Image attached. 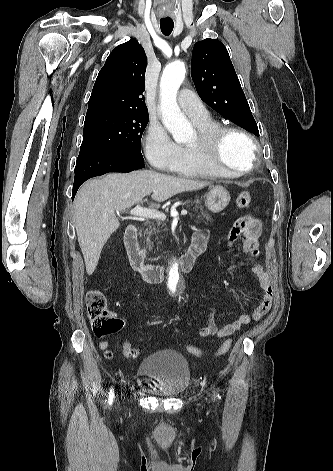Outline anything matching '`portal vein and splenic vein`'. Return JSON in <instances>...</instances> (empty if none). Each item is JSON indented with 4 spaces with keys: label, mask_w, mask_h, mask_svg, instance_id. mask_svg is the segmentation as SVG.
Returning <instances> with one entry per match:
<instances>
[{
    "label": "portal vein and splenic vein",
    "mask_w": 333,
    "mask_h": 471,
    "mask_svg": "<svg viewBox=\"0 0 333 471\" xmlns=\"http://www.w3.org/2000/svg\"><path fill=\"white\" fill-rule=\"evenodd\" d=\"M130 214L133 216H140L145 218L165 220L166 216L164 213L154 209L141 207L139 204L130 210ZM181 215H187V210H182Z\"/></svg>",
    "instance_id": "obj_1"
}]
</instances>
